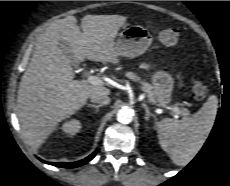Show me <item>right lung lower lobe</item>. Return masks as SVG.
I'll return each mask as SVG.
<instances>
[{
    "instance_id": "right-lung-lower-lobe-1",
    "label": "right lung lower lobe",
    "mask_w": 230,
    "mask_h": 186,
    "mask_svg": "<svg viewBox=\"0 0 230 186\" xmlns=\"http://www.w3.org/2000/svg\"><path fill=\"white\" fill-rule=\"evenodd\" d=\"M99 150L97 149L94 153H92L91 155H89L88 157H86L83 160L77 161V162H72V163H66V162H61V163H50V162H46L44 160H41L42 162H45L47 164H51L54 165L56 167H63V168H74V167H79L81 165H84L85 163H87L88 161H90L91 159L94 158V156L96 155V153Z\"/></svg>"
}]
</instances>
